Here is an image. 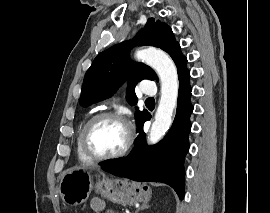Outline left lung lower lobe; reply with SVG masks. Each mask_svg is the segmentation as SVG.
Instances as JSON below:
<instances>
[{
  "instance_id": "1",
  "label": "left lung lower lobe",
  "mask_w": 270,
  "mask_h": 213,
  "mask_svg": "<svg viewBox=\"0 0 270 213\" xmlns=\"http://www.w3.org/2000/svg\"><path fill=\"white\" fill-rule=\"evenodd\" d=\"M177 112L172 127L158 144L148 147L143 124L151 118L148 114L140 123V134L135 149L126 157L102 165V169L119 177L135 181H158L170 185L180 199L184 198V158L189 149L188 134L191 130L190 102L192 88L189 84L190 71L180 74Z\"/></svg>"
}]
</instances>
